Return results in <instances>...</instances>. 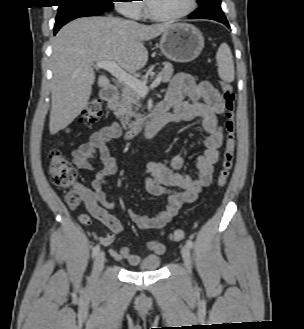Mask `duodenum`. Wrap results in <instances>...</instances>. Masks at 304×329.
<instances>
[{
    "mask_svg": "<svg viewBox=\"0 0 304 329\" xmlns=\"http://www.w3.org/2000/svg\"><path fill=\"white\" fill-rule=\"evenodd\" d=\"M117 94V88L113 85H108L101 90L100 97L107 102L108 108L111 109L117 98ZM170 121H172V118L166 112L165 105L160 103L148 116L129 122L127 126V137L133 138L137 134L143 133L146 137L150 138Z\"/></svg>",
    "mask_w": 304,
    "mask_h": 329,
    "instance_id": "obj_1",
    "label": "duodenum"
}]
</instances>
